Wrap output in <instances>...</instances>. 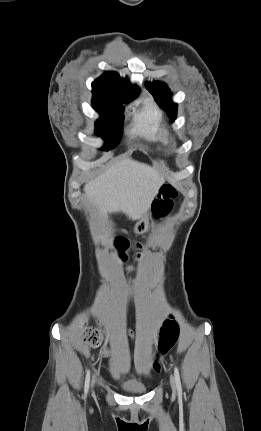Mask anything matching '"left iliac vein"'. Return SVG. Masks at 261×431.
<instances>
[{"instance_id": "left-iliac-vein-1", "label": "left iliac vein", "mask_w": 261, "mask_h": 431, "mask_svg": "<svg viewBox=\"0 0 261 431\" xmlns=\"http://www.w3.org/2000/svg\"><path fill=\"white\" fill-rule=\"evenodd\" d=\"M170 385H171L172 391L175 393L176 392V382H175V379L172 375H170Z\"/></svg>"}]
</instances>
